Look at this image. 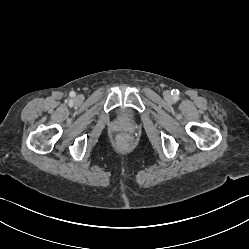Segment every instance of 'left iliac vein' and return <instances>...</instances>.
Wrapping results in <instances>:
<instances>
[{
    "instance_id": "4c4485c4",
    "label": "left iliac vein",
    "mask_w": 249,
    "mask_h": 249,
    "mask_svg": "<svg viewBox=\"0 0 249 249\" xmlns=\"http://www.w3.org/2000/svg\"><path fill=\"white\" fill-rule=\"evenodd\" d=\"M165 98H166V100H168V101H170V100L172 99L169 92H166V93H165Z\"/></svg>"
}]
</instances>
